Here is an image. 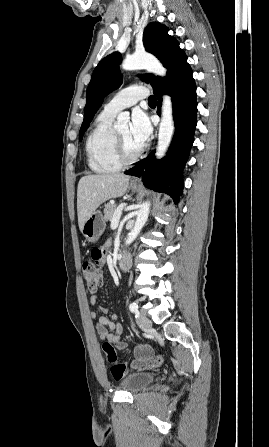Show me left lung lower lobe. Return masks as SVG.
<instances>
[{
	"label": "left lung lower lobe",
	"mask_w": 269,
	"mask_h": 447,
	"mask_svg": "<svg viewBox=\"0 0 269 447\" xmlns=\"http://www.w3.org/2000/svg\"><path fill=\"white\" fill-rule=\"evenodd\" d=\"M165 92L172 97L175 122V133L168 155L162 160H156L154 152H151L145 160L125 174L142 176L147 188L167 193L178 203L183 190L182 170L189 157L197 124L196 85L184 52L180 54L168 79L154 90L158 98V115Z\"/></svg>",
	"instance_id": "obj_1"
}]
</instances>
